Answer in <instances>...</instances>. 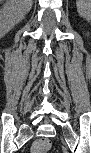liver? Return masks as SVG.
I'll return each mask as SVG.
<instances>
[{"instance_id": "6515ba94", "label": "liver", "mask_w": 91, "mask_h": 153, "mask_svg": "<svg viewBox=\"0 0 91 153\" xmlns=\"http://www.w3.org/2000/svg\"><path fill=\"white\" fill-rule=\"evenodd\" d=\"M22 2H23L24 4L29 5V7L31 8V6H32V0H22Z\"/></svg>"}]
</instances>
